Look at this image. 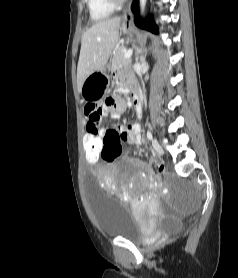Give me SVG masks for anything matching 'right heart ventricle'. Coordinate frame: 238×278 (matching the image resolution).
I'll list each match as a JSON object with an SVG mask.
<instances>
[{"label":"right heart ventricle","instance_id":"1","mask_svg":"<svg viewBox=\"0 0 238 278\" xmlns=\"http://www.w3.org/2000/svg\"><path fill=\"white\" fill-rule=\"evenodd\" d=\"M90 18L93 21H101L108 18L113 12L106 0H86Z\"/></svg>","mask_w":238,"mask_h":278}]
</instances>
